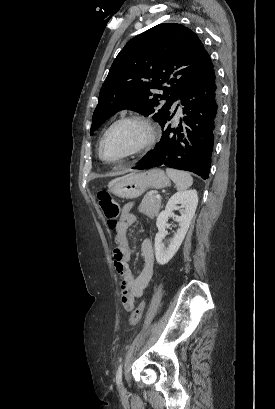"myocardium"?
<instances>
[{
	"instance_id": "1",
	"label": "myocardium",
	"mask_w": 275,
	"mask_h": 409,
	"mask_svg": "<svg viewBox=\"0 0 275 409\" xmlns=\"http://www.w3.org/2000/svg\"><path fill=\"white\" fill-rule=\"evenodd\" d=\"M123 124H131V125H135L137 126L140 131H141V137L139 139V141L126 153H124L123 155L119 156V157H131L134 156L138 153H140L141 151H143L144 149H146L153 141L154 139V129L151 125V123L145 119L144 117H140V116H126V117H122L118 120H116L115 122H113L105 131V133L103 134L100 143H99V148H98V152H99V156L100 157H105L103 154V145L104 142L106 141L107 137L109 136V134L118 126L123 125Z\"/></svg>"
}]
</instances>
